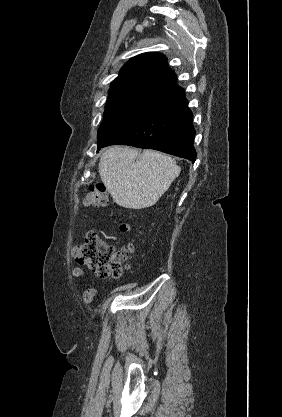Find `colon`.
I'll use <instances>...</instances> for the list:
<instances>
[{
    "instance_id": "5ec220e1",
    "label": "colon",
    "mask_w": 282,
    "mask_h": 417,
    "mask_svg": "<svg viewBox=\"0 0 282 417\" xmlns=\"http://www.w3.org/2000/svg\"><path fill=\"white\" fill-rule=\"evenodd\" d=\"M84 203L94 208L107 206L109 196L106 187L102 184L90 186ZM118 228L126 232L130 226L120 220ZM73 258L97 275L120 278L130 266V248L124 247L117 251L99 233L93 231L75 246Z\"/></svg>"
}]
</instances>
